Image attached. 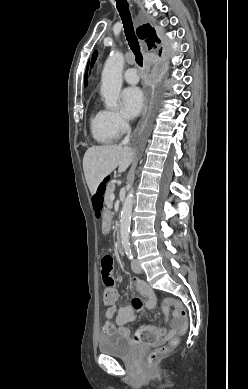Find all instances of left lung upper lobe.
Here are the masks:
<instances>
[{"label": "left lung upper lobe", "mask_w": 248, "mask_h": 389, "mask_svg": "<svg viewBox=\"0 0 248 389\" xmlns=\"http://www.w3.org/2000/svg\"><path fill=\"white\" fill-rule=\"evenodd\" d=\"M87 71H88V65H87V70H86L85 77H84L85 85H87Z\"/></svg>", "instance_id": "5c2ea615"}]
</instances>
